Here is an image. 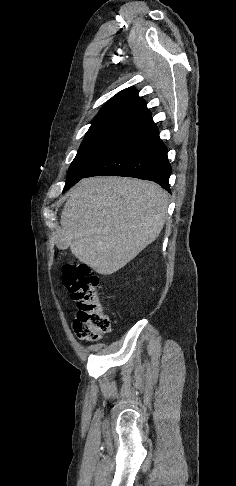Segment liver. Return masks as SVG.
<instances>
[{"label":"liver","mask_w":236,"mask_h":486,"mask_svg":"<svg viewBox=\"0 0 236 486\" xmlns=\"http://www.w3.org/2000/svg\"><path fill=\"white\" fill-rule=\"evenodd\" d=\"M168 195L157 184L126 177L82 179L61 212V241L102 275L123 268L161 233Z\"/></svg>","instance_id":"1"}]
</instances>
